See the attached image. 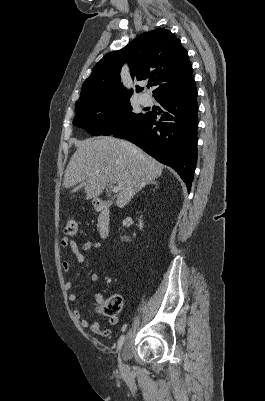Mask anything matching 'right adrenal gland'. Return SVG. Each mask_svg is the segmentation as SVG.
<instances>
[{
	"label": "right adrenal gland",
	"instance_id": "1",
	"mask_svg": "<svg viewBox=\"0 0 265 401\" xmlns=\"http://www.w3.org/2000/svg\"><path fill=\"white\" fill-rule=\"evenodd\" d=\"M150 184H157V180H153V182H150Z\"/></svg>",
	"mask_w": 265,
	"mask_h": 401
}]
</instances>
